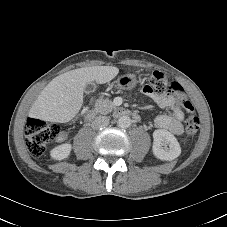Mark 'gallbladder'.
Returning a JSON list of instances; mask_svg holds the SVG:
<instances>
[{"label":"gallbladder","instance_id":"gallbladder-1","mask_svg":"<svg viewBox=\"0 0 227 227\" xmlns=\"http://www.w3.org/2000/svg\"><path fill=\"white\" fill-rule=\"evenodd\" d=\"M96 87L97 86H96L95 83L89 82V83L86 84L84 91L86 93H92V92H94L96 90Z\"/></svg>","mask_w":227,"mask_h":227}]
</instances>
